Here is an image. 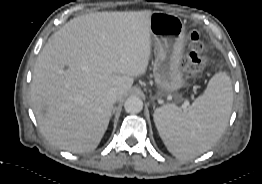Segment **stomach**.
<instances>
[{
	"label": "stomach",
	"mask_w": 262,
	"mask_h": 184,
	"mask_svg": "<svg viewBox=\"0 0 262 184\" xmlns=\"http://www.w3.org/2000/svg\"><path fill=\"white\" fill-rule=\"evenodd\" d=\"M149 27L156 50L153 75L158 95L173 94L176 100H180L177 91L185 86L181 69L185 25L177 15L156 11L149 18Z\"/></svg>",
	"instance_id": "stomach-1"
}]
</instances>
